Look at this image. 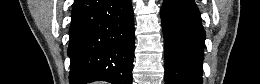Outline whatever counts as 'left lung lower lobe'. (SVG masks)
I'll list each match as a JSON object with an SVG mask.
<instances>
[{
  "label": "left lung lower lobe",
  "instance_id": "left-lung-lower-lobe-1",
  "mask_svg": "<svg viewBox=\"0 0 260 84\" xmlns=\"http://www.w3.org/2000/svg\"><path fill=\"white\" fill-rule=\"evenodd\" d=\"M165 84H202L205 31L193 0H164Z\"/></svg>",
  "mask_w": 260,
  "mask_h": 84
}]
</instances>
